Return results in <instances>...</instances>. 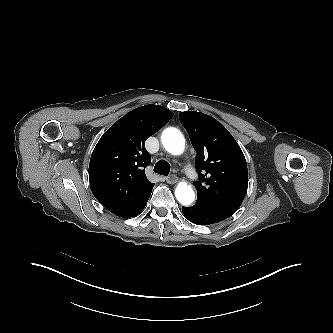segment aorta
Returning <instances> with one entry per match:
<instances>
[{
  "label": "aorta",
  "mask_w": 333,
  "mask_h": 333,
  "mask_svg": "<svg viewBox=\"0 0 333 333\" xmlns=\"http://www.w3.org/2000/svg\"><path fill=\"white\" fill-rule=\"evenodd\" d=\"M163 147L172 155H181L185 148V138L180 130L174 127L166 128L161 135ZM175 197L184 206H189L195 200L193 188L187 182L178 183Z\"/></svg>",
  "instance_id": "762f6f07"
}]
</instances>
